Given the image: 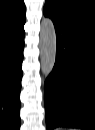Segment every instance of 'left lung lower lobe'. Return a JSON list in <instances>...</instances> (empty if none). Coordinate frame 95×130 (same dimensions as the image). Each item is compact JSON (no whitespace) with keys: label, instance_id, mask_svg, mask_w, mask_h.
Returning <instances> with one entry per match:
<instances>
[{"label":"left lung lower lobe","instance_id":"obj_1","mask_svg":"<svg viewBox=\"0 0 95 130\" xmlns=\"http://www.w3.org/2000/svg\"><path fill=\"white\" fill-rule=\"evenodd\" d=\"M54 26L56 62L45 82L47 130H95V31L70 21Z\"/></svg>","mask_w":95,"mask_h":130}]
</instances>
